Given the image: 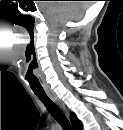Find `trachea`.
Masks as SVG:
<instances>
[{
  "mask_svg": "<svg viewBox=\"0 0 123 130\" xmlns=\"http://www.w3.org/2000/svg\"><path fill=\"white\" fill-rule=\"evenodd\" d=\"M34 94L45 105L51 116L61 125L63 130H73L63 111L48 97L45 92H34Z\"/></svg>",
  "mask_w": 123,
  "mask_h": 130,
  "instance_id": "1",
  "label": "trachea"
}]
</instances>
